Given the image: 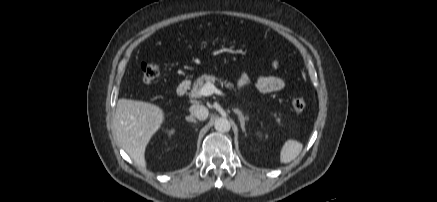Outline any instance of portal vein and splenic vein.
Returning a JSON list of instances; mask_svg holds the SVG:
<instances>
[{
  "instance_id": "18ae733b",
  "label": "portal vein and splenic vein",
  "mask_w": 437,
  "mask_h": 202,
  "mask_svg": "<svg viewBox=\"0 0 437 202\" xmlns=\"http://www.w3.org/2000/svg\"><path fill=\"white\" fill-rule=\"evenodd\" d=\"M223 95L222 91L217 89L213 83H205L204 86L200 89L201 96H209L212 94Z\"/></svg>"
}]
</instances>
